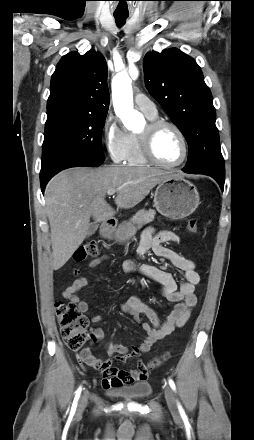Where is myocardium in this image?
Listing matches in <instances>:
<instances>
[{"instance_id": "obj_1", "label": "myocardium", "mask_w": 254, "mask_h": 440, "mask_svg": "<svg viewBox=\"0 0 254 440\" xmlns=\"http://www.w3.org/2000/svg\"><path fill=\"white\" fill-rule=\"evenodd\" d=\"M164 127H169L172 130H174L182 142V147H183L182 158L179 162L174 163V164H168V163L162 162L157 157L155 150H154L155 137H156L158 131ZM138 136L140 139L141 150H142L144 157L150 163H152L154 165H157V166H160L163 168H176V167L181 166L186 161V159L188 157L189 147H188V142H187L186 136L183 133V131L175 123H173L171 121H168L165 119L150 120L147 123L145 130L142 131L141 133H139Z\"/></svg>"}]
</instances>
